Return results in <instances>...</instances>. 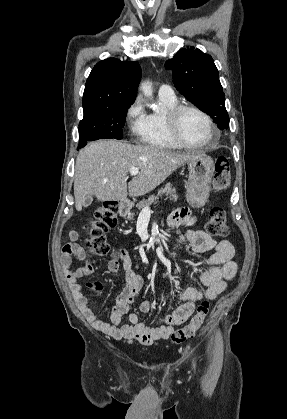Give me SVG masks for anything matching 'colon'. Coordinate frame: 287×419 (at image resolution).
I'll return each instance as SVG.
<instances>
[{
  "mask_svg": "<svg viewBox=\"0 0 287 419\" xmlns=\"http://www.w3.org/2000/svg\"><path fill=\"white\" fill-rule=\"evenodd\" d=\"M213 189L223 192L230 186V164L221 157L216 161L213 177ZM118 205L114 201H107L96 209L93 217L87 226V244L94 255H104L108 252L109 246L105 234L117 225ZM207 232L215 236H226L229 228L226 224L225 213L220 208H213L210 211L209 220L206 225ZM209 302L203 301L197 308L196 313L190 322L183 328L173 332L170 342L180 344L192 338L202 326L209 313Z\"/></svg>",
  "mask_w": 287,
  "mask_h": 419,
  "instance_id": "5ec220e1",
  "label": "colon"
}]
</instances>
